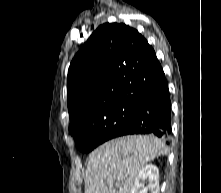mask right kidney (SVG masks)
I'll use <instances>...</instances> for the list:
<instances>
[{
  "label": "right kidney",
  "mask_w": 221,
  "mask_h": 193,
  "mask_svg": "<svg viewBox=\"0 0 221 193\" xmlns=\"http://www.w3.org/2000/svg\"><path fill=\"white\" fill-rule=\"evenodd\" d=\"M159 170L153 164L144 166L135 178L131 193H159ZM145 183L147 185L145 186Z\"/></svg>",
  "instance_id": "ca27d5eb"
}]
</instances>
